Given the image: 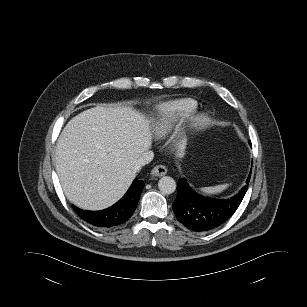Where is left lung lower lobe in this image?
I'll return each instance as SVG.
<instances>
[{
    "instance_id": "obj_1",
    "label": "left lung lower lobe",
    "mask_w": 307,
    "mask_h": 307,
    "mask_svg": "<svg viewBox=\"0 0 307 307\" xmlns=\"http://www.w3.org/2000/svg\"><path fill=\"white\" fill-rule=\"evenodd\" d=\"M250 176L251 173L247 184ZM247 188V185L244 186L238 194L229 199L218 200L197 194L183 178H180L173 210L177 219L187 228L198 232L211 230L222 225L235 213Z\"/></svg>"
}]
</instances>
